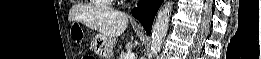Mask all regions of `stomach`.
I'll use <instances>...</instances> for the list:
<instances>
[{"mask_svg": "<svg viewBox=\"0 0 261 59\" xmlns=\"http://www.w3.org/2000/svg\"><path fill=\"white\" fill-rule=\"evenodd\" d=\"M115 38L97 35L93 40L94 52L103 59H111Z\"/></svg>", "mask_w": 261, "mask_h": 59, "instance_id": "0dacf381", "label": "stomach"}]
</instances>
